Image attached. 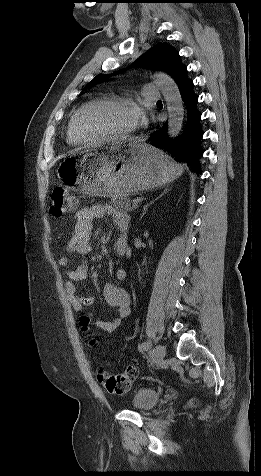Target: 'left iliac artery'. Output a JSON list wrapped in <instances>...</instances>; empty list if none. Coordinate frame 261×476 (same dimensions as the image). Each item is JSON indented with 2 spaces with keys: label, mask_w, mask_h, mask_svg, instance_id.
I'll use <instances>...</instances> for the list:
<instances>
[{
  "label": "left iliac artery",
  "mask_w": 261,
  "mask_h": 476,
  "mask_svg": "<svg viewBox=\"0 0 261 476\" xmlns=\"http://www.w3.org/2000/svg\"><path fill=\"white\" fill-rule=\"evenodd\" d=\"M149 346H150V342H149V341H145V342L141 343V344L138 346V349H139L140 351H144V350L148 349Z\"/></svg>",
  "instance_id": "obj_1"
}]
</instances>
